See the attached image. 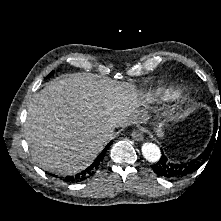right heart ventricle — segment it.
Here are the masks:
<instances>
[{"instance_id": "obj_1", "label": "right heart ventricle", "mask_w": 221, "mask_h": 221, "mask_svg": "<svg viewBox=\"0 0 221 221\" xmlns=\"http://www.w3.org/2000/svg\"><path fill=\"white\" fill-rule=\"evenodd\" d=\"M155 100V94L153 93H148L144 99H143V104H150Z\"/></svg>"}]
</instances>
